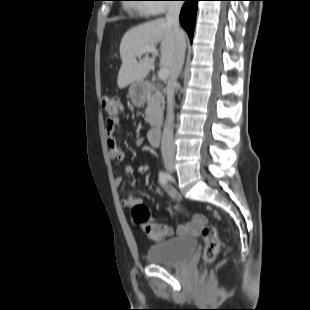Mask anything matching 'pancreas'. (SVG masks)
Returning <instances> with one entry per match:
<instances>
[{
    "label": "pancreas",
    "mask_w": 310,
    "mask_h": 310,
    "mask_svg": "<svg viewBox=\"0 0 310 310\" xmlns=\"http://www.w3.org/2000/svg\"><path fill=\"white\" fill-rule=\"evenodd\" d=\"M164 105V96L158 89H155L154 92L149 91L147 93L146 121L152 127L162 122Z\"/></svg>",
    "instance_id": "obj_1"
}]
</instances>
